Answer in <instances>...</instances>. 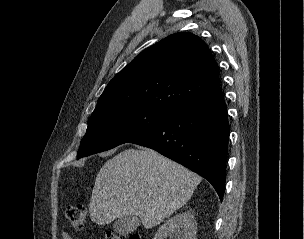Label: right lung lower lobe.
<instances>
[{
    "label": "right lung lower lobe",
    "mask_w": 304,
    "mask_h": 239,
    "mask_svg": "<svg viewBox=\"0 0 304 239\" xmlns=\"http://www.w3.org/2000/svg\"><path fill=\"white\" fill-rule=\"evenodd\" d=\"M230 129L219 88L129 143L151 148L206 178L223 200Z\"/></svg>",
    "instance_id": "1"
}]
</instances>
